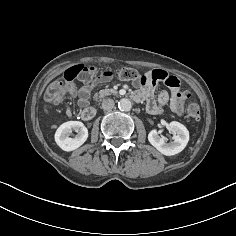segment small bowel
Instances as JSON below:
<instances>
[{"label": "small bowel", "mask_w": 236, "mask_h": 236, "mask_svg": "<svg viewBox=\"0 0 236 236\" xmlns=\"http://www.w3.org/2000/svg\"><path fill=\"white\" fill-rule=\"evenodd\" d=\"M169 76L167 73L160 69H154L148 71L146 74L140 76L135 84L140 88L132 94V98L137 101H145L147 104V109L150 113L158 114L162 111V108L165 107L169 102V108L173 112L178 111L179 99L177 93L179 92L178 85L169 86L171 88V98L169 99V94L167 91H161L157 98L154 97V87L157 82H166L168 81ZM107 80L106 75H102L96 78L93 82L81 86L79 89H76L73 86H69L64 89L61 93L62 96L70 95L77 97L78 104L84 106L88 103L90 93L95 85L104 83ZM67 115H71V109L69 106H66Z\"/></svg>", "instance_id": "1"}]
</instances>
